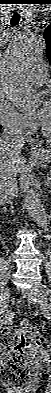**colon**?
Listing matches in <instances>:
<instances>
[{
	"mask_svg": "<svg viewBox=\"0 0 51 393\" xmlns=\"http://www.w3.org/2000/svg\"><path fill=\"white\" fill-rule=\"evenodd\" d=\"M33 334L36 345H42L44 338L27 321L5 327L1 332L2 372L4 379L16 389H23L31 380L32 367L25 354L27 334Z\"/></svg>",
	"mask_w": 51,
	"mask_h": 393,
	"instance_id": "colon-1",
	"label": "colon"
}]
</instances>
